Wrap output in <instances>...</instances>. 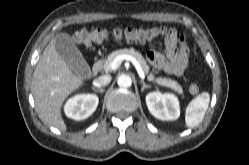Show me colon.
Returning a JSON list of instances; mask_svg holds the SVG:
<instances>
[{
	"label": "colon",
	"instance_id": "colon-1",
	"mask_svg": "<svg viewBox=\"0 0 249 165\" xmlns=\"http://www.w3.org/2000/svg\"><path fill=\"white\" fill-rule=\"evenodd\" d=\"M168 30L164 27L161 28H127V29H114L111 31L97 28L93 30H80L74 34V40L81 45H91L92 43H100L105 40L111 39L114 41L125 40L127 42H145L152 40L158 36L167 34ZM183 41L184 37L180 35ZM190 91L193 94L198 92V86L195 83L190 85Z\"/></svg>",
	"mask_w": 249,
	"mask_h": 165
}]
</instances>
